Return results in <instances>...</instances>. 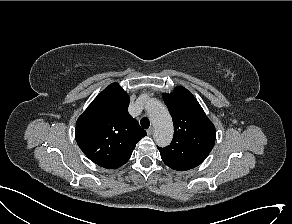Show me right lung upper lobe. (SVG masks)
<instances>
[{"mask_svg":"<svg viewBox=\"0 0 292 224\" xmlns=\"http://www.w3.org/2000/svg\"><path fill=\"white\" fill-rule=\"evenodd\" d=\"M129 96L118 83L105 88L78 118L75 138L95 164L115 169L125 164L136 143L146 136L128 113Z\"/></svg>","mask_w":292,"mask_h":224,"instance_id":"cb5924a9","label":"right lung upper lobe"}]
</instances>
